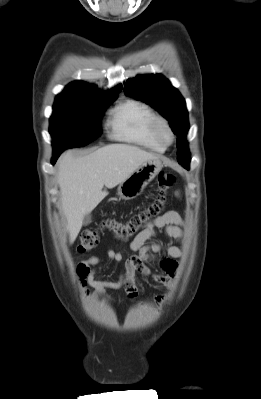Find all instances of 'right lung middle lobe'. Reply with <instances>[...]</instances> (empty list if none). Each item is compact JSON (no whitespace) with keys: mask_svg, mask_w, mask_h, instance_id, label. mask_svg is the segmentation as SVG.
<instances>
[{"mask_svg":"<svg viewBox=\"0 0 261 399\" xmlns=\"http://www.w3.org/2000/svg\"><path fill=\"white\" fill-rule=\"evenodd\" d=\"M115 99H56L50 118L54 151L83 146L98 138L103 112Z\"/></svg>","mask_w":261,"mask_h":399,"instance_id":"right-lung-middle-lobe-1","label":"right lung middle lobe"}]
</instances>
